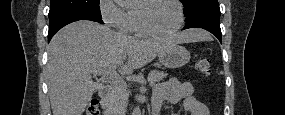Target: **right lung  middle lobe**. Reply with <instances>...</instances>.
Listing matches in <instances>:
<instances>
[{"mask_svg":"<svg viewBox=\"0 0 285 115\" xmlns=\"http://www.w3.org/2000/svg\"><path fill=\"white\" fill-rule=\"evenodd\" d=\"M71 13H84L101 17L99 0H51L49 21Z\"/></svg>","mask_w":285,"mask_h":115,"instance_id":"dd1d6c3e","label":"right lung middle lobe"}]
</instances>
